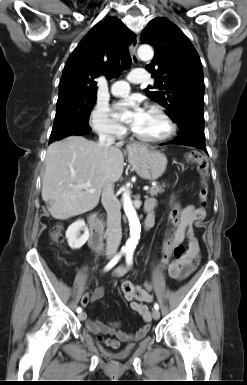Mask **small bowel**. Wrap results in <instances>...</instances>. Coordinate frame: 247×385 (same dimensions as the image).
Here are the masks:
<instances>
[{
  "instance_id": "c3829d8e",
  "label": "small bowel",
  "mask_w": 247,
  "mask_h": 385,
  "mask_svg": "<svg viewBox=\"0 0 247 385\" xmlns=\"http://www.w3.org/2000/svg\"><path fill=\"white\" fill-rule=\"evenodd\" d=\"M157 203L154 199L145 202V209L148 214L154 215ZM206 216V211L202 206L188 205L181 207L178 203H172L169 215V225L164 232L165 245L161 264L170 256L173 249L181 244L184 239L188 242V249L185 255L178 260L169 261L167 270L169 277L174 280H184L190 276L197 268L200 258V245L196 237L194 227H202V221ZM164 267V266H163ZM128 272L125 265L118 267L113 272L114 278H121ZM132 286V292L124 293L125 299L129 302L131 309L136 312L143 320V325L136 332H127L121 328L120 322H103L100 320L86 321L88 330L97 335L98 339L105 345L112 348H119L121 342L138 341L142 339L151 327V313L147 303H151L154 296L150 293L152 285L146 283L143 286L125 282L123 285ZM104 286H98L93 292H86L81 298L82 306L86 307L92 302H96L104 295ZM135 293H138L137 295ZM104 336H114L115 338H104Z\"/></svg>"
}]
</instances>
